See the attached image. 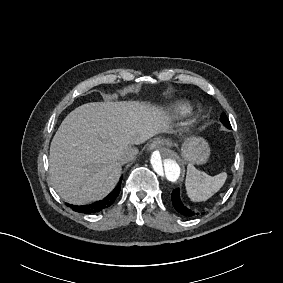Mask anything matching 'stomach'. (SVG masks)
Masks as SVG:
<instances>
[{
	"instance_id": "obj_1",
	"label": "stomach",
	"mask_w": 283,
	"mask_h": 283,
	"mask_svg": "<svg viewBox=\"0 0 283 283\" xmlns=\"http://www.w3.org/2000/svg\"><path fill=\"white\" fill-rule=\"evenodd\" d=\"M208 144L201 138H188L181 148L182 158L188 163L203 164L209 157Z\"/></svg>"
}]
</instances>
